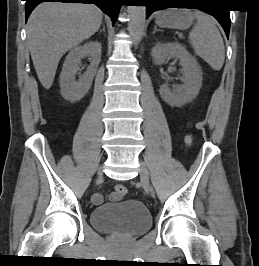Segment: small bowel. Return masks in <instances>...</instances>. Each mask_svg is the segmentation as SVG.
<instances>
[{
	"mask_svg": "<svg viewBox=\"0 0 259 266\" xmlns=\"http://www.w3.org/2000/svg\"><path fill=\"white\" fill-rule=\"evenodd\" d=\"M109 200L110 201H119L121 199V197H119L115 192L114 193H111L109 196H108ZM93 200V203L94 204H102L104 202V196L102 194H95L92 198Z\"/></svg>",
	"mask_w": 259,
	"mask_h": 266,
	"instance_id": "obj_1",
	"label": "small bowel"
}]
</instances>
